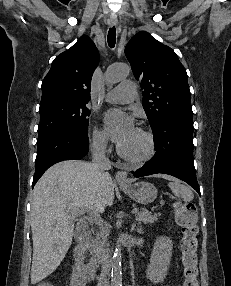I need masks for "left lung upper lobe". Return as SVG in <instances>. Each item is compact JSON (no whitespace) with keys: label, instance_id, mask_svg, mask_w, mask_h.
Masks as SVG:
<instances>
[{"label":"left lung upper lobe","instance_id":"left-lung-upper-lobe-1","mask_svg":"<svg viewBox=\"0 0 231 286\" xmlns=\"http://www.w3.org/2000/svg\"><path fill=\"white\" fill-rule=\"evenodd\" d=\"M125 54L144 89L142 104L152 130L170 116L192 117L187 73L170 47L141 31L129 41Z\"/></svg>","mask_w":231,"mask_h":286}]
</instances>
